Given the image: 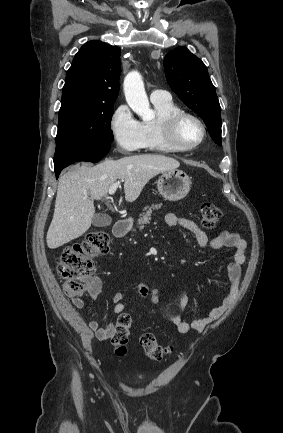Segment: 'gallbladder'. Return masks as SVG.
<instances>
[{
	"instance_id": "obj_1",
	"label": "gallbladder",
	"mask_w": 283,
	"mask_h": 433,
	"mask_svg": "<svg viewBox=\"0 0 283 433\" xmlns=\"http://www.w3.org/2000/svg\"><path fill=\"white\" fill-rule=\"evenodd\" d=\"M92 223L94 227H108V225H111L112 219L109 217V214L99 212V214H95V217H93Z\"/></svg>"
}]
</instances>
